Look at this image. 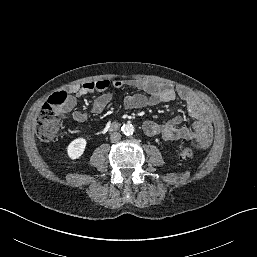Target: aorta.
I'll return each instance as SVG.
<instances>
[{
	"label": "aorta",
	"instance_id": "1",
	"mask_svg": "<svg viewBox=\"0 0 257 257\" xmlns=\"http://www.w3.org/2000/svg\"><path fill=\"white\" fill-rule=\"evenodd\" d=\"M122 132L129 136L132 135L134 133V126L132 124H124L121 128Z\"/></svg>",
	"mask_w": 257,
	"mask_h": 257
}]
</instances>
